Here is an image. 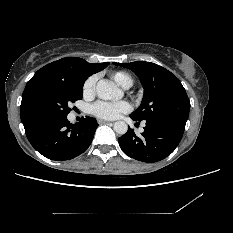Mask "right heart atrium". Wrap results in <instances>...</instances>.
Masks as SVG:
<instances>
[{"mask_svg":"<svg viewBox=\"0 0 233 233\" xmlns=\"http://www.w3.org/2000/svg\"><path fill=\"white\" fill-rule=\"evenodd\" d=\"M96 82H97V77L94 75L86 79L82 88V92L85 97L90 98L95 94Z\"/></svg>","mask_w":233,"mask_h":233,"instance_id":"d8ad5b80","label":"right heart atrium"}]
</instances>
